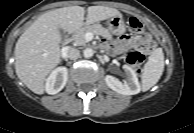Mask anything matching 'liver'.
Returning <instances> with one entry per match:
<instances>
[{
    "label": "liver",
    "mask_w": 194,
    "mask_h": 133,
    "mask_svg": "<svg viewBox=\"0 0 194 133\" xmlns=\"http://www.w3.org/2000/svg\"><path fill=\"white\" fill-rule=\"evenodd\" d=\"M63 7L48 11L19 37L15 45V70L18 78L34 93L45 92L47 76L60 63L59 29L68 33L79 30L84 25L103 21L122 14L114 8L90 6Z\"/></svg>",
    "instance_id": "liver-1"
}]
</instances>
